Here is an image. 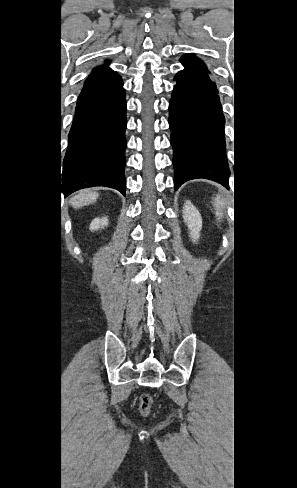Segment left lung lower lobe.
<instances>
[{
    "label": "left lung lower lobe",
    "instance_id": "obj_1",
    "mask_svg": "<svg viewBox=\"0 0 297 488\" xmlns=\"http://www.w3.org/2000/svg\"><path fill=\"white\" fill-rule=\"evenodd\" d=\"M169 103L174 186L205 178L228 188L222 106L217 91L180 71Z\"/></svg>",
    "mask_w": 297,
    "mask_h": 488
}]
</instances>
